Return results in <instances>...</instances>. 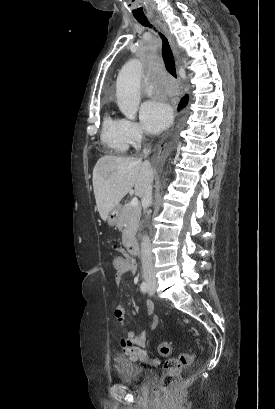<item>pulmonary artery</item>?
I'll use <instances>...</instances> for the list:
<instances>
[{"instance_id":"1","label":"pulmonary artery","mask_w":275,"mask_h":409,"mask_svg":"<svg viewBox=\"0 0 275 409\" xmlns=\"http://www.w3.org/2000/svg\"><path fill=\"white\" fill-rule=\"evenodd\" d=\"M146 91L148 92V95H149V96H152L153 93H154V87H153V86H148V87L146 88Z\"/></svg>"}]
</instances>
